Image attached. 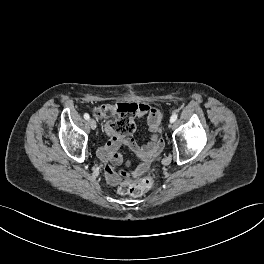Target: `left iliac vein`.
Wrapping results in <instances>:
<instances>
[{
  "instance_id": "1",
  "label": "left iliac vein",
  "mask_w": 264,
  "mask_h": 264,
  "mask_svg": "<svg viewBox=\"0 0 264 264\" xmlns=\"http://www.w3.org/2000/svg\"><path fill=\"white\" fill-rule=\"evenodd\" d=\"M168 126H169V128H171L172 127V122H170Z\"/></svg>"
}]
</instances>
